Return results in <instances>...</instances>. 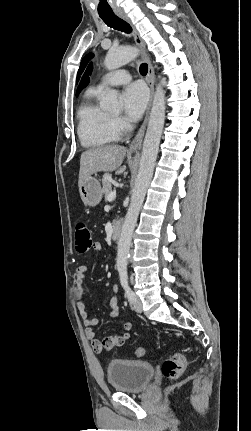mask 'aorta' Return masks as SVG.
<instances>
[{
	"mask_svg": "<svg viewBox=\"0 0 251 431\" xmlns=\"http://www.w3.org/2000/svg\"><path fill=\"white\" fill-rule=\"evenodd\" d=\"M138 54L139 50L135 47H113L108 51L105 57V67L108 70H115L135 59ZM117 96V91L108 90L104 99L100 103L101 108L107 110L117 108ZM164 121L165 92L161 84H158L154 94L148 127L143 142L138 175L135 180V186L131 195V202L117 243L116 266L118 270H126L127 268L132 235L137 223L140 209L144 202L147 188L153 176Z\"/></svg>",
	"mask_w": 251,
	"mask_h": 431,
	"instance_id": "1",
	"label": "aorta"
}]
</instances>
